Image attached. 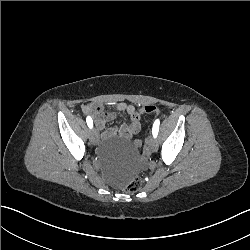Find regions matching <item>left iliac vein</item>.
Here are the masks:
<instances>
[{"instance_id":"obj_1","label":"left iliac vein","mask_w":250,"mask_h":250,"mask_svg":"<svg viewBox=\"0 0 250 250\" xmlns=\"http://www.w3.org/2000/svg\"><path fill=\"white\" fill-rule=\"evenodd\" d=\"M147 142V145H148V148L151 150V151H156L157 150V141L156 139L154 138V136H149L146 140Z\"/></svg>"}]
</instances>
